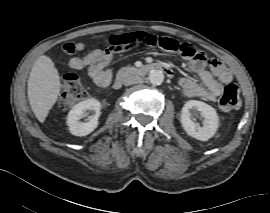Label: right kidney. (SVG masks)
Segmentation results:
<instances>
[{
    "mask_svg": "<svg viewBox=\"0 0 270 213\" xmlns=\"http://www.w3.org/2000/svg\"><path fill=\"white\" fill-rule=\"evenodd\" d=\"M100 102L95 98H90L76 104L68 113L67 124L71 134L75 136H86L94 131L98 126L100 115ZM86 110H93L94 114L87 122H79L86 116Z\"/></svg>",
    "mask_w": 270,
    "mask_h": 213,
    "instance_id": "1",
    "label": "right kidney"
}]
</instances>
